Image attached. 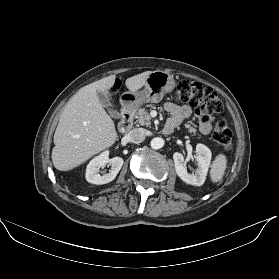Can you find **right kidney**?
I'll use <instances>...</instances> for the list:
<instances>
[{"label":"right kidney","mask_w":279,"mask_h":279,"mask_svg":"<svg viewBox=\"0 0 279 279\" xmlns=\"http://www.w3.org/2000/svg\"><path fill=\"white\" fill-rule=\"evenodd\" d=\"M111 165L109 173L103 175L99 174L100 168H103L106 164ZM123 159L120 157H113L109 159V151H104L94 159H92L86 168V180L91 184H107L115 179L120 169L123 166Z\"/></svg>","instance_id":"1"}]
</instances>
